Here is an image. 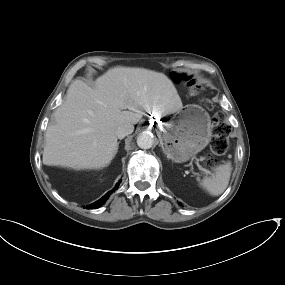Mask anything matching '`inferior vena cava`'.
<instances>
[{
  "label": "inferior vena cava",
  "instance_id": "obj_1",
  "mask_svg": "<svg viewBox=\"0 0 285 285\" xmlns=\"http://www.w3.org/2000/svg\"><path fill=\"white\" fill-rule=\"evenodd\" d=\"M133 130L134 126L132 124H123L116 129L115 135L117 138L122 139L125 136L131 134Z\"/></svg>",
  "mask_w": 285,
  "mask_h": 285
}]
</instances>
